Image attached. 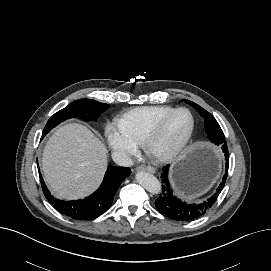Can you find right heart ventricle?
<instances>
[{
	"instance_id": "e07e8e85",
	"label": "right heart ventricle",
	"mask_w": 271,
	"mask_h": 271,
	"mask_svg": "<svg viewBox=\"0 0 271 271\" xmlns=\"http://www.w3.org/2000/svg\"><path fill=\"white\" fill-rule=\"evenodd\" d=\"M174 109L165 105L131 109L119 118V128L132 142L140 145L157 123Z\"/></svg>"
}]
</instances>
